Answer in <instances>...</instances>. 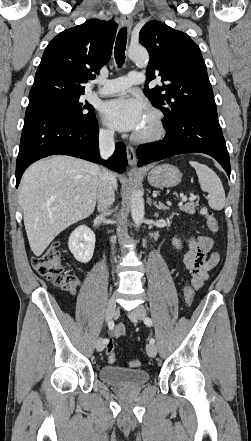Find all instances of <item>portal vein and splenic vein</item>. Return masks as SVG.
<instances>
[{"label":"portal vein and splenic vein","instance_id":"1","mask_svg":"<svg viewBox=\"0 0 251 441\" xmlns=\"http://www.w3.org/2000/svg\"><path fill=\"white\" fill-rule=\"evenodd\" d=\"M196 198H197V197H196L195 195L191 194L189 200H195ZM186 200H187V197H186V196L182 197V201H183V202L186 201Z\"/></svg>","mask_w":251,"mask_h":441}]
</instances>
